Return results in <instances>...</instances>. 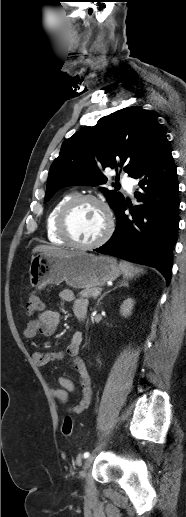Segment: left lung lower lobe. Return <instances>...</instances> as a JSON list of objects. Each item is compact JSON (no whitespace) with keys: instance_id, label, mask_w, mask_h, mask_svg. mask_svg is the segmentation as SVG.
Returning a JSON list of instances; mask_svg holds the SVG:
<instances>
[{"instance_id":"obj_1","label":"left lung lower lobe","mask_w":186,"mask_h":517,"mask_svg":"<svg viewBox=\"0 0 186 517\" xmlns=\"http://www.w3.org/2000/svg\"><path fill=\"white\" fill-rule=\"evenodd\" d=\"M138 179L135 197L140 203L124 212L127 203L115 211L117 226L103 246L95 251L114 255L158 269L171 279L173 248L177 242L179 200L176 166L167 138L132 174Z\"/></svg>"}]
</instances>
